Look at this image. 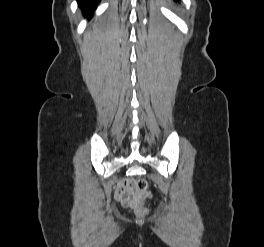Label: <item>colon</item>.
I'll return each instance as SVG.
<instances>
[{
	"label": "colon",
	"instance_id": "obj_1",
	"mask_svg": "<svg viewBox=\"0 0 264 247\" xmlns=\"http://www.w3.org/2000/svg\"><path fill=\"white\" fill-rule=\"evenodd\" d=\"M133 192L120 196V201L123 205L132 207L138 215L147 213L145 205L146 199L149 197L148 183L145 179L131 181Z\"/></svg>",
	"mask_w": 264,
	"mask_h": 247
}]
</instances>
